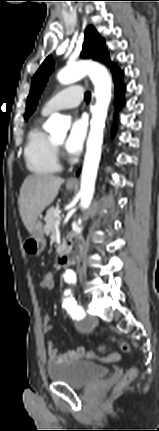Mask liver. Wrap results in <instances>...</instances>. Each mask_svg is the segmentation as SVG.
<instances>
[{"label": "liver", "mask_w": 159, "mask_h": 431, "mask_svg": "<svg viewBox=\"0 0 159 431\" xmlns=\"http://www.w3.org/2000/svg\"><path fill=\"white\" fill-rule=\"evenodd\" d=\"M64 179L54 175L34 174L25 178L18 198L19 211L29 233L41 215L56 198Z\"/></svg>", "instance_id": "1"}]
</instances>
